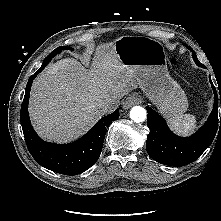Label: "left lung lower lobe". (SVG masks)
Here are the masks:
<instances>
[{"label":"left lung lower lobe","instance_id":"0a47b994","mask_svg":"<svg viewBox=\"0 0 221 221\" xmlns=\"http://www.w3.org/2000/svg\"><path fill=\"white\" fill-rule=\"evenodd\" d=\"M198 66L203 65L198 61ZM214 92V107L208 121L194 135L179 137L167 126L166 121L152 108L148 111L147 126L150 129L146 141V149L149 156L158 163L169 166H184L192 163L210 146L216 131L221 130V117L218 119V101L221 104L217 91L210 80Z\"/></svg>","mask_w":221,"mask_h":221}]
</instances>
